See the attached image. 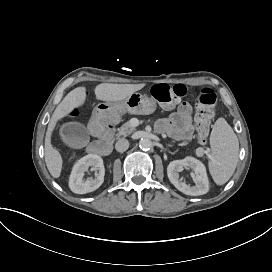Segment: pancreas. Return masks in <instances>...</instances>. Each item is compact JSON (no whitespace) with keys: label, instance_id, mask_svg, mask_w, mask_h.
I'll use <instances>...</instances> for the list:
<instances>
[{"label":"pancreas","instance_id":"cf45deb5","mask_svg":"<svg viewBox=\"0 0 272 272\" xmlns=\"http://www.w3.org/2000/svg\"><path fill=\"white\" fill-rule=\"evenodd\" d=\"M114 122H119V119L116 118L114 120ZM136 130V127L133 125L132 123V120H128L126 121L122 126L121 128L118 129V137H121V136H127L129 134H131L132 132H134Z\"/></svg>","mask_w":272,"mask_h":272}]
</instances>
